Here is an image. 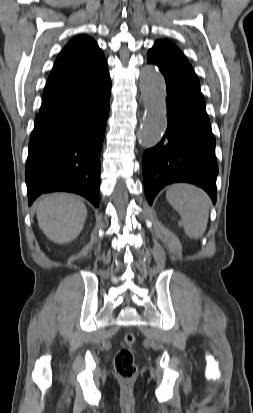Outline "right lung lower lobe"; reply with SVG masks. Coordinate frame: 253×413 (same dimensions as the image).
Segmentation results:
<instances>
[{
  "label": "right lung lower lobe",
  "instance_id": "obj_1",
  "mask_svg": "<svg viewBox=\"0 0 253 413\" xmlns=\"http://www.w3.org/2000/svg\"><path fill=\"white\" fill-rule=\"evenodd\" d=\"M110 76L93 94L35 118L26 163L28 203L68 191L100 200V154L109 115Z\"/></svg>",
  "mask_w": 253,
  "mask_h": 413
}]
</instances>
